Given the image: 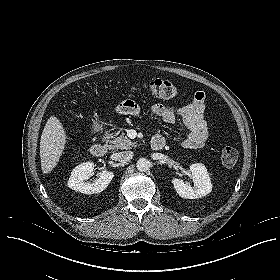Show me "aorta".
Listing matches in <instances>:
<instances>
[{
    "label": "aorta",
    "mask_w": 280,
    "mask_h": 280,
    "mask_svg": "<svg viewBox=\"0 0 280 280\" xmlns=\"http://www.w3.org/2000/svg\"><path fill=\"white\" fill-rule=\"evenodd\" d=\"M136 167L139 171L145 172L150 168V161L146 158H140L136 163Z\"/></svg>",
    "instance_id": "1"
}]
</instances>
